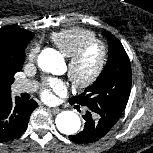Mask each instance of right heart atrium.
Wrapping results in <instances>:
<instances>
[{
    "label": "right heart atrium",
    "instance_id": "obj_1",
    "mask_svg": "<svg viewBox=\"0 0 153 153\" xmlns=\"http://www.w3.org/2000/svg\"><path fill=\"white\" fill-rule=\"evenodd\" d=\"M38 51H39L38 45L35 44V45L31 46L30 49L28 50V53H27L28 60L34 61L36 59Z\"/></svg>",
    "mask_w": 153,
    "mask_h": 153
}]
</instances>
